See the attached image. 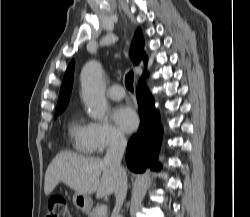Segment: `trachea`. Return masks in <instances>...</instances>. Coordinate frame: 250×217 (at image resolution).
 <instances>
[{"label": "trachea", "mask_w": 250, "mask_h": 217, "mask_svg": "<svg viewBox=\"0 0 250 217\" xmlns=\"http://www.w3.org/2000/svg\"><path fill=\"white\" fill-rule=\"evenodd\" d=\"M133 79L134 74L132 71H130L125 77V86L130 91H133Z\"/></svg>", "instance_id": "trachea-1"}]
</instances>
